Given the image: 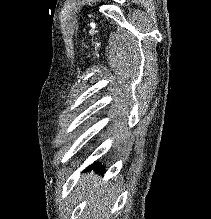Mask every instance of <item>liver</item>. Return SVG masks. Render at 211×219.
I'll return each instance as SVG.
<instances>
[{"label": "liver", "instance_id": "6515ba94", "mask_svg": "<svg viewBox=\"0 0 211 219\" xmlns=\"http://www.w3.org/2000/svg\"><path fill=\"white\" fill-rule=\"evenodd\" d=\"M99 178L91 173L82 175L79 180L77 197L79 200L90 195L89 201L83 212V219H103L115 201V195L111 188L106 185L97 187Z\"/></svg>", "mask_w": 211, "mask_h": 219}]
</instances>
